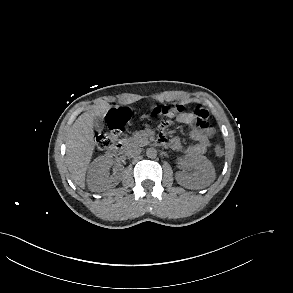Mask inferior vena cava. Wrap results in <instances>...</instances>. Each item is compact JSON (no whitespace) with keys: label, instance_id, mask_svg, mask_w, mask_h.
<instances>
[{"label":"inferior vena cava","instance_id":"obj_1","mask_svg":"<svg viewBox=\"0 0 293 293\" xmlns=\"http://www.w3.org/2000/svg\"><path fill=\"white\" fill-rule=\"evenodd\" d=\"M141 153V149L138 147L130 148L126 151V155L128 157H134L137 156Z\"/></svg>","mask_w":293,"mask_h":293}]
</instances>
